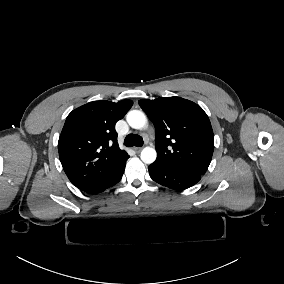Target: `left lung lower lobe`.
I'll list each match as a JSON object with an SVG mask.
<instances>
[{"label": "left lung lower lobe", "instance_id": "0a47b994", "mask_svg": "<svg viewBox=\"0 0 284 284\" xmlns=\"http://www.w3.org/2000/svg\"><path fill=\"white\" fill-rule=\"evenodd\" d=\"M148 170L155 182L174 190L187 189L201 179V175L171 169L157 162L152 163Z\"/></svg>", "mask_w": 284, "mask_h": 284}]
</instances>
